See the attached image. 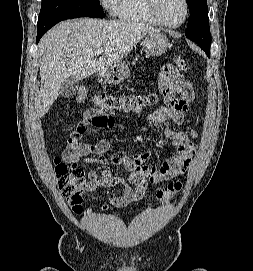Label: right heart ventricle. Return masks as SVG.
<instances>
[{"mask_svg":"<svg viewBox=\"0 0 253 271\" xmlns=\"http://www.w3.org/2000/svg\"><path fill=\"white\" fill-rule=\"evenodd\" d=\"M113 12L121 20L159 26L148 8V0H116Z\"/></svg>","mask_w":253,"mask_h":271,"instance_id":"right-heart-ventricle-1","label":"right heart ventricle"}]
</instances>
